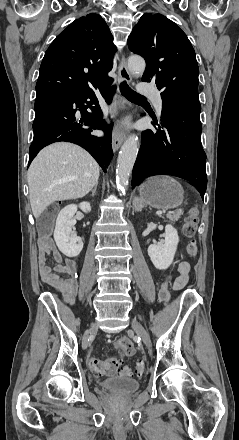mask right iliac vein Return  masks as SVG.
Listing matches in <instances>:
<instances>
[{"label":"right iliac vein","instance_id":"obj_1","mask_svg":"<svg viewBox=\"0 0 239 440\" xmlns=\"http://www.w3.org/2000/svg\"><path fill=\"white\" fill-rule=\"evenodd\" d=\"M95 327V325H92V328H94Z\"/></svg>","mask_w":239,"mask_h":440}]
</instances>
